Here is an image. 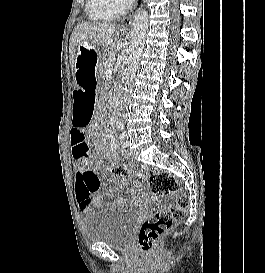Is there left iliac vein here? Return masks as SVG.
<instances>
[{
    "mask_svg": "<svg viewBox=\"0 0 265 273\" xmlns=\"http://www.w3.org/2000/svg\"><path fill=\"white\" fill-rule=\"evenodd\" d=\"M120 141L123 147H127L129 145L128 134L126 131H123L120 134Z\"/></svg>",
    "mask_w": 265,
    "mask_h": 273,
    "instance_id": "obj_1",
    "label": "left iliac vein"
}]
</instances>
